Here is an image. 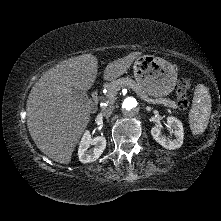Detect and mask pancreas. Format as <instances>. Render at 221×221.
<instances>
[{"instance_id": "pancreas-1", "label": "pancreas", "mask_w": 221, "mask_h": 221, "mask_svg": "<svg viewBox=\"0 0 221 221\" xmlns=\"http://www.w3.org/2000/svg\"><path fill=\"white\" fill-rule=\"evenodd\" d=\"M122 87H128L132 88L139 96L145 95L144 90L132 79L130 78H120L117 80H114L110 84H107V94L105 95V98L108 100L109 103H113L116 99V94ZM163 102V104L167 107H171L173 109H176L178 107L177 103L173 100H170L168 98H160Z\"/></svg>"}]
</instances>
